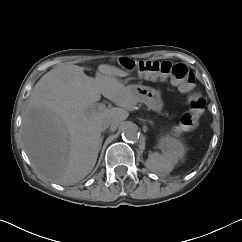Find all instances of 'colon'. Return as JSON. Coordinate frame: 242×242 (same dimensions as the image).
Segmentation results:
<instances>
[{"mask_svg":"<svg viewBox=\"0 0 242 242\" xmlns=\"http://www.w3.org/2000/svg\"><path fill=\"white\" fill-rule=\"evenodd\" d=\"M119 64L128 69L153 79H169L177 85L179 90L188 94L189 110L183 114L178 130H187L197 126L205 108V99L194 91L196 79L188 67L183 63H171L169 61L135 60L132 58H120Z\"/></svg>","mask_w":242,"mask_h":242,"instance_id":"obj_1","label":"colon"}]
</instances>
